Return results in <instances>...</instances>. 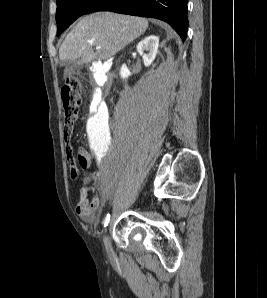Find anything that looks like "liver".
<instances>
[{
  "mask_svg": "<svg viewBox=\"0 0 267 298\" xmlns=\"http://www.w3.org/2000/svg\"><path fill=\"white\" fill-rule=\"evenodd\" d=\"M148 25L144 18L112 12L87 15L67 34L59 49V58L77 64L109 59L142 35ZM94 46L101 48L94 51Z\"/></svg>",
  "mask_w": 267,
  "mask_h": 298,
  "instance_id": "6515ba94",
  "label": "liver"
}]
</instances>
